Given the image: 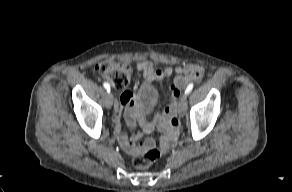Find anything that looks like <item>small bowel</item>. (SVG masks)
<instances>
[{
  "label": "small bowel",
  "mask_w": 292,
  "mask_h": 192,
  "mask_svg": "<svg viewBox=\"0 0 292 192\" xmlns=\"http://www.w3.org/2000/svg\"><path fill=\"white\" fill-rule=\"evenodd\" d=\"M137 69L143 74L146 84L156 80H169L173 73L176 76L169 84V90L173 95L166 113H157L152 121L140 118L138 105L130 91L123 92L115 104L113 123L115 136L121 147L131 155L145 153L149 148L154 146L153 140H147L144 143H138L142 133L136 131L131 137L122 129V113L126 107L125 117L129 126H134L135 121L139 118L140 126L145 133L152 132L157 128L161 132L159 148L161 152H166L176 141L178 135V123L176 120L177 106L175 98L179 95L180 88L186 84L200 79L203 75V68L197 64H186L177 66L174 69L166 67L157 69L152 61H141L137 64Z\"/></svg>",
  "instance_id": "c3829d8e"
}]
</instances>
